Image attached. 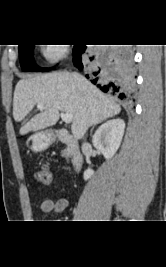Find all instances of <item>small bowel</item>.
Listing matches in <instances>:
<instances>
[{
    "instance_id": "c3829d8e",
    "label": "small bowel",
    "mask_w": 166,
    "mask_h": 267,
    "mask_svg": "<svg viewBox=\"0 0 166 267\" xmlns=\"http://www.w3.org/2000/svg\"><path fill=\"white\" fill-rule=\"evenodd\" d=\"M68 205V200L64 197L58 198L56 200L45 199L40 204V210L43 213H49L53 216H57L59 213L63 212Z\"/></svg>"
}]
</instances>
